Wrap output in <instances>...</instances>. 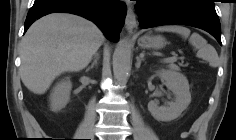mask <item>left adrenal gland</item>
I'll list each match as a JSON object with an SVG mask.
<instances>
[{
    "mask_svg": "<svg viewBox=\"0 0 236 140\" xmlns=\"http://www.w3.org/2000/svg\"><path fill=\"white\" fill-rule=\"evenodd\" d=\"M137 62L135 64L136 68H140V65H141V62L144 61V57L143 56H140V57H137Z\"/></svg>",
    "mask_w": 236,
    "mask_h": 140,
    "instance_id": "a2214340",
    "label": "left adrenal gland"
}]
</instances>
